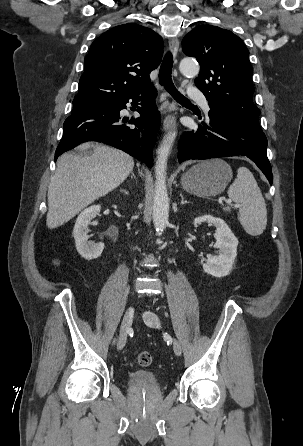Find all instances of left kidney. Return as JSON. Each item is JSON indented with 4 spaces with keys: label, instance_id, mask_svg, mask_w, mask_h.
Wrapping results in <instances>:
<instances>
[{
    "label": "left kidney",
    "instance_id": "5707ae66",
    "mask_svg": "<svg viewBox=\"0 0 303 446\" xmlns=\"http://www.w3.org/2000/svg\"><path fill=\"white\" fill-rule=\"evenodd\" d=\"M202 222L211 223L216 227L214 248L219 249L218 255H207L203 269L207 274L214 277L227 276L232 271L234 260L237 256L238 240L224 220L211 215H204L195 218L194 225Z\"/></svg>",
    "mask_w": 303,
    "mask_h": 446
}]
</instances>
